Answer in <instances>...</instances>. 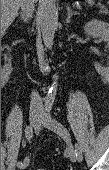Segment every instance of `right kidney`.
Listing matches in <instances>:
<instances>
[{
	"label": "right kidney",
	"instance_id": "ca27d5eb",
	"mask_svg": "<svg viewBox=\"0 0 109 170\" xmlns=\"http://www.w3.org/2000/svg\"><path fill=\"white\" fill-rule=\"evenodd\" d=\"M7 49H9V47ZM10 60L11 59L9 58L8 59L9 62L4 66V68L2 70V76L1 77H2L3 84L8 81L9 75H10V73L12 71Z\"/></svg>",
	"mask_w": 109,
	"mask_h": 170
}]
</instances>
